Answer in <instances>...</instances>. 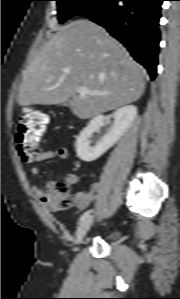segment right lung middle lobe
Instances as JSON below:
<instances>
[{
	"label": "right lung middle lobe",
	"instance_id": "dd1d6c3e",
	"mask_svg": "<svg viewBox=\"0 0 180 299\" xmlns=\"http://www.w3.org/2000/svg\"><path fill=\"white\" fill-rule=\"evenodd\" d=\"M58 1L59 22L63 23L74 15H81L104 0H56Z\"/></svg>",
	"mask_w": 180,
	"mask_h": 299
}]
</instances>
